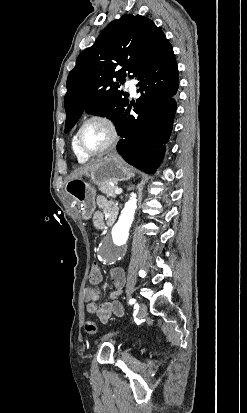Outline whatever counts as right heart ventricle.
I'll return each instance as SVG.
<instances>
[{
    "instance_id": "right-heart-ventricle-1",
    "label": "right heart ventricle",
    "mask_w": 247,
    "mask_h": 413,
    "mask_svg": "<svg viewBox=\"0 0 247 413\" xmlns=\"http://www.w3.org/2000/svg\"><path fill=\"white\" fill-rule=\"evenodd\" d=\"M72 147H73V151H74V153H75V156H76L77 160H78L80 163H85V162L88 160V158L85 157V156H83V155L78 151V149H77V147H76V144H75V135L73 136V139H72Z\"/></svg>"
}]
</instances>
